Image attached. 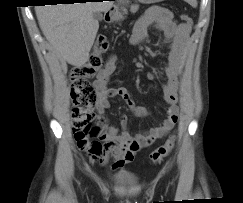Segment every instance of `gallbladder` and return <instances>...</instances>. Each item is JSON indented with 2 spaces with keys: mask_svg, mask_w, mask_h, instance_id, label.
<instances>
[{
  "mask_svg": "<svg viewBox=\"0 0 243 203\" xmlns=\"http://www.w3.org/2000/svg\"><path fill=\"white\" fill-rule=\"evenodd\" d=\"M93 16H94V19L97 20V21H100L102 19V14L101 12H98V11H95L93 13Z\"/></svg>",
  "mask_w": 243,
  "mask_h": 203,
  "instance_id": "gallbladder-1",
  "label": "gallbladder"
}]
</instances>
